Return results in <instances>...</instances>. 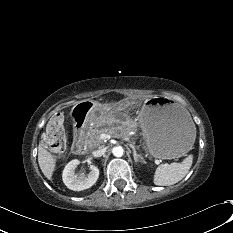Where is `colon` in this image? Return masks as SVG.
Returning <instances> with one entry per match:
<instances>
[{"label": "colon", "mask_w": 233, "mask_h": 233, "mask_svg": "<svg viewBox=\"0 0 233 233\" xmlns=\"http://www.w3.org/2000/svg\"><path fill=\"white\" fill-rule=\"evenodd\" d=\"M46 143L57 159H62L65 156L67 140L61 116L54 115L50 119L46 131Z\"/></svg>", "instance_id": "5ec220e1"}]
</instances>
